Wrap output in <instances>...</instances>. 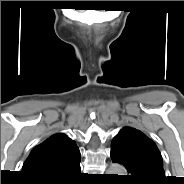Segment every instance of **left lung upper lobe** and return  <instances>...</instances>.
<instances>
[{"mask_svg": "<svg viewBox=\"0 0 184 184\" xmlns=\"http://www.w3.org/2000/svg\"><path fill=\"white\" fill-rule=\"evenodd\" d=\"M111 147L127 156L148 178L159 182L166 180L162 157L157 146L140 130L124 127L114 137Z\"/></svg>", "mask_w": 184, "mask_h": 184, "instance_id": "1", "label": "left lung upper lobe"}]
</instances>
